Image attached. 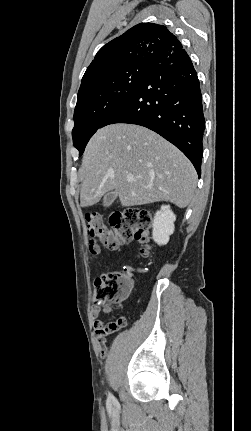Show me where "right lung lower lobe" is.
<instances>
[{"instance_id": "right-lung-lower-lobe-1", "label": "right lung lower lobe", "mask_w": 251, "mask_h": 431, "mask_svg": "<svg viewBox=\"0 0 251 431\" xmlns=\"http://www.w3.org/2000/svg\"><path fill=\"white\" fill-rule=\"evenodd\" d=\"M114 123L155 131L188 157L200 177L205 129L202 94L197 73L183 48L150 58L137 89L104 126Z\"/></svg>"}]
</instances>
